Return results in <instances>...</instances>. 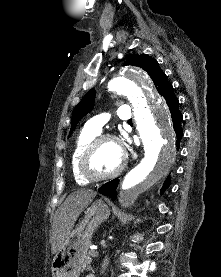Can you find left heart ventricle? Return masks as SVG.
<instances>
[{"label": "left heart ventricle", "instance_id": "left-heart-ventricle-1", "mask_svg": "<svg viewBox=\"0 0 221 277\" xmlns=\"http://www.w3.org/2000/svg\"><path fill=\"white\" fill-rule=\"evenodd\" d=\"M121 159V147L115 142L105 141L93 154L90 161V169L95 174H107L118 167Z\"/></svg>", "mask_w": 221, "mask_h": 277}]
</instances>
